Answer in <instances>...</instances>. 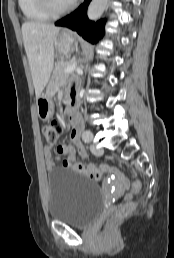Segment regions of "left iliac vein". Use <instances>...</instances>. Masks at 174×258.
<instances>
[{"label": "left iliac vein", "mask_w": 174, "mask_h": 258, "mask_svg": "<svg viewBox=\"0 0 174 258\" xmlns=\"http://www.w3.org/2000/svg\"><path fill=\"white\" fill-rule=\"evenodd\" d=\"M91 152L96 156H101L103 154V150L97 148L95 145H91Z\"/></svg>", "instance_id": "1"}]
</instances>
